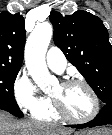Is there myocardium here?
Here are the masks:
<instances>
[{
  "instance_id": "myocardium-1",
  "label": "myocardium",
  "mask_w": 112,
  "mask_h": 135,
  "mask_svg": "<svg viewBox=\"0 0 112 135\" xmlns=\"http://www.w3.org/2000/svg\"><path fill=\"white\" fill-rule=\"evenodd\" d=\"M61 84L64 86L81 85V86L85 87L92 99V110L89 113V115H87L86 117H75V116L69 114L62 107L61 103L59 102V100L57 98L50 95L52 107L59 117L65 119V120L74 122V123H87L97 117V115L99 114V111H100L99 98H98L97 93L93 89V87L87 81H85L83 79L73 78V79L65 80V81L61 82Z\"/></svg>"
}]
</instances>
